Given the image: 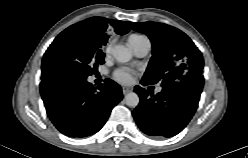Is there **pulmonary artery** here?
<instances>
[{"mask_svg":"<svg viewBox=\"0 0 248 158\" xmlns=\"http://www.w3.org/2000/svg\"><path fill=\"white\" fill-rule=\"evenodd\" d=\"M129 45L134 54L138 57H145L149 53L151 48V43L147 37H142L136 41L131 42ZM160 91L161 87H158L156 89V92Z\"/></svg>","mask_w":248,"mask_h":158,"instance_id":"e3ab8cb5","label":"pulmonary artery"}]
</instances>
